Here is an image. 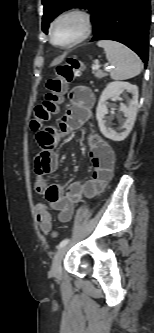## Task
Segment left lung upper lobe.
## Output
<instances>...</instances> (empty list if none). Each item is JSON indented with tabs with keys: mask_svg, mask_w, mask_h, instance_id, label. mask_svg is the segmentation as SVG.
<instances>
[{
	"mask_svg": "<svg viewBox=\"0 0 154 333\" xmlns=\"http://www.w3.org/2000/svg\"><path fill=\"white\" fill-rule=\"evenodd\" d=\"M98 0H42L44 15L42 18V30L47 33L49 23L63 11L73 8H88L93 11Z\"/></svg>",
	"mask_w": 154,
	"mask_h": 333,
	"instance_id": "obj_1",
	"label": "left lung upper lobe"
}]
</instances>
